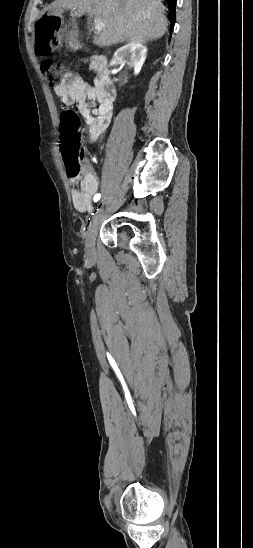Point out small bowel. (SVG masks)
Wrapping results in <instances>:
<instances>
[{
  "instance_id": "c3829d8e",
  "label": "small bowel",
  "mask_w": 253,
  "mask_h": 548,
  "mask_svg": "<svg viewBox=\"0 0 253 548\" xmlns=\"http://www.w3.org/2000/svg\"><path fill=\"white\" fill-rule=\"evenodd\" d=\"M54 92L64 106L77 105L87 123V143L96 142L110 124L113 102L74 72L67 73L54 88ZM69 180L74 186L71 192L74 208L79 212L91 211L92 199L99 189V180L87 157L82 158L80 173L69 176Z\"/></svg>"
}]
</instances>
